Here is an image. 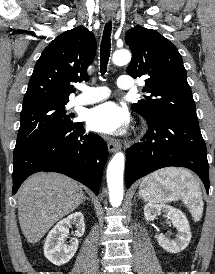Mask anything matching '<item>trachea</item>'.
Returning a JSON list of instances; mask_svg holds the SVG:
<instances>
[{"label": "trachea", "instance_id": "3493384b", "mask_svg": "<svg viewBox=\"0 0 215 274\" xmlns=\"http://www.w3.org/2000/svg\"><path fill=\"white\" fill-rule=\"evenodd\" d=\"M111 30H112V23H111V21H109L105 25V28L103 31V36H102V41H101V46H100V67H101V75L102 76L106 73L107 64H108L109 57H110Z\"/></svg>", "mask_w": 215, "mask_h": 274}]
</instances>
